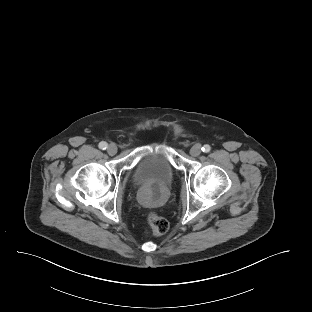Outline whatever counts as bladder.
I'll use <instances>...</instances> for the list:
<instances>
[{"mask_svg":"<svg viewBox=\"0 0 312 312\" xmlns=\"http://www.w3.org/2000/svg\"><path fill=\"white\" fill-rule=\"evenodd\" d=\"M175 177V168L161 148H153L136 164L133 182L138 186H151L157 189L168 188Z\"/></svg>","mask_w":312,"mask_h":312,"instance_id":"31cf9c89","label":"bladder"}]
</instances>
